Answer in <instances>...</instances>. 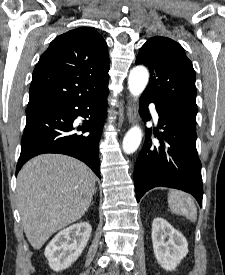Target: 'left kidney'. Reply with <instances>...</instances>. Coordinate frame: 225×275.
Wrapping results in <instances>:
<instances>
[{
	"label": "left kidney",
	"mask_w": 225,
	"mask_h": 275,
	"mask_svg": "<svg viewBox=\"0 0 225 275\" xmlns=\"http://www.w3.org/2000/svg\"><path fill=\"white\" fill-rule=\"evenodd\" d=\"M152 243L154 255L165 270H174L188 254L186 238L163 218L153 220Z\"/></svg>",
	"instance_id": "obj_1"
}]
</instances>
